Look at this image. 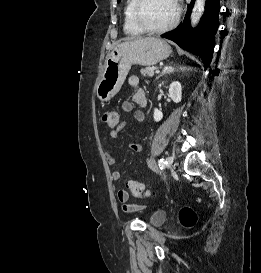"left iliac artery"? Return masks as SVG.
<instances>
[{
	"instance_id": "44dca946",
	"label": "left iliac artery",
	"mask_w": 261,
	"mask_h": 273,
	"mask_svg": "<svg viewBox=\"0 0 261 273\" xmlns=\"http://www.w3.org/2000/svg\"><path fill=\"white\" fill-rule=\"evenodd\" d=\"M166 164H167V162L164 161L163 159H160V160L158 161V165H159L160 169H164L165 166H166Z\"/></svg>"
}]
</instances>
